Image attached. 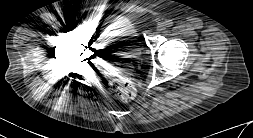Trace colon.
I'll return each mask as SVG.
<instances>
[{"mask_svg":"<svg viewBox=\"0 0 253 138\" xmlns=\"http://www.w3.org/2000/svg\"><path fill=\"white\" fill-rule=\"evenodd\" d=\"M110 90L121 101H129L135 96V87L126 78L113 80L110 84Z\"/></svg>","mask_w":253,"mask_h":138,"instance_id":"5ec220e1","label":"colon"}]
</instances>
